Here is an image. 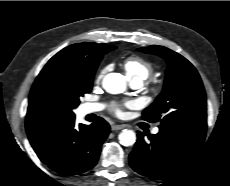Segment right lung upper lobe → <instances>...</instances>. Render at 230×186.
<instances>
[{
  "instance_id": "right-lung-upper-lobe-1",
  "label": "right lung upper lobe",
  "mask_w": 230,
  "mask_h": 186,
  "mask_svg": "<svg viewBox=\"0 0 230 186\" xmlns=\"http://www.w3.org/2000/svg\"><path fill=\"white\" fill-rule=\"evenodd\" d=\"M107 44L77 43L70 45L54 55L36 78L29 95L26 114L27 134H33L47 125L68 120L72 117L53 98L50 80L57 72L77 66L95 63Z\"/></svg>"
}]
</instances>
